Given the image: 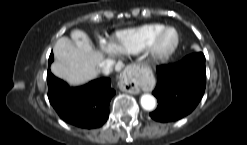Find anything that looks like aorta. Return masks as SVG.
I'll use <instances>...</instances> for the list:
<instances>
[{
    "instance_id": "762f6f07",
    "label": "aorta",
    "mask_w": 247,
    "mask_h": 145,
    "mask_svg": "<svg viewBox=\"0 0 247 145\" xmlns=\"http://www.w3.org/2000/svg\"><path fill=\"white\" fill-rule=\"evenodd\" d=\"M141 106L144 110L151 111L156 107V99L150 94H143L140 99Z\"/></svg>"
}]
</instances>
